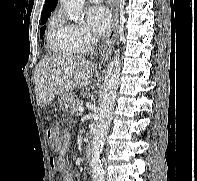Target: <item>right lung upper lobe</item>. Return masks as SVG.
Segmentation results:
<instances>
[{
  "instance_id": "obj_1",
  "label": "right lung upper lobe",
  "mask_w": 197,
  "mask_h": 181,
  "mask_svg": "<svg viewBox=\"0 0 197 181\" xmlns=\"http://www.w3.org/2000/svg\"><path fill=\"white\" fill-rule=\"evenodd\" d=\"M58 0H45V5L43 7L42 15L51 14V12L55 9Z\"/></svg>"
}]
</instances>
